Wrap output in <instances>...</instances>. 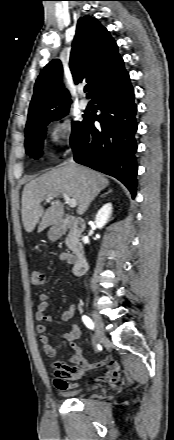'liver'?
<instances>
[{"label": "liver", "mask_w": 174, "mask_h": 440, "mask_svg": "<svg viewBox=\"0 0 174 440\" xmlns=\"http://www.w3.org/2000/svg\"><path fill=\"white\" fill-rule=\"evenodd\" d=\"M104 175L77 165L66 163L27 183L22 193V222L26 232H32L39 223L38 232L60 221L64 214L58 197L66 193L77 201V214L83 215L95 197L107 187ZM48 196L55 199L48 209L41 202Z\"/></svg>", "instance_id": "6515ba94"}]
</instances>
